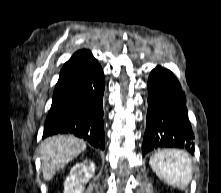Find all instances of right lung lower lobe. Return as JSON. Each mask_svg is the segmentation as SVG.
Wrapping results in <instances>:
<instances>
[{
	"label": "right lung lower lobe",
	"mask_w": 221,
	"mask_h": 193,
	"mask_svg": "<svg viewBox=\"0 0 221 193\" xmlns=\"http://www.w3.org/2000/svg\"><path fill=\"white\" fill-rule=\"evenodd\" d=\"M104 87L103 71L95 60L53 97L43 138L73 134L104 150Z\"/></svg>",
	"instance_id": "obj_1"
}]
</instances>
